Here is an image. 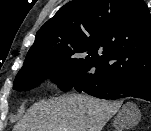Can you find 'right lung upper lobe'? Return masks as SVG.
Instances as JSON below:
<instances>
[{
    "instance_id": "right-lung-upper-lobe-1",
    "label": "right lung upper lobe",
    "mask_w": 151,
    "mask_h": 131,
    "mask_svg": "<svg viewBox=\"0 0 151 131\" xmlns=\"http://www.w3.org/2000/svg\"><path fill=\"white\" fill-rule=\"evenodd\" d=\"M84 50L109 79L151 76V16L143 0H73L37 32L33 46Z\"/></svg>"
}]
</instances>
